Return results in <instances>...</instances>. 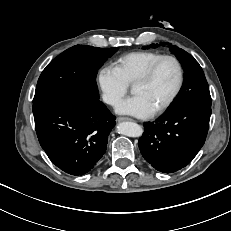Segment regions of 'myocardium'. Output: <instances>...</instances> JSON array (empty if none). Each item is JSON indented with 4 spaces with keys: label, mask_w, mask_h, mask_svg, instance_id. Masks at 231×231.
I'll return each mask as SVG.
<instances>
[{
    "label": "myocardium",
    "mask_w": 231,
    "mask_h": 231,
    "mask_svg": "<svg viewBox=\"0 0 231 231\" xmlns=\"http://www.w3.org/2000/svg\"><path fill=\"white\" fill-rule=\"evenodd\" d=\"M165 60H171L175 63L178 70V81L171 95L167 98L165 102H163L158 108L154 110L153 114H160L164 112L173 104V102L180 94L185 80L184 67L181 61L174 55H162L161 57L156 59L153 63H151L133 82V86H134L136 84H142L149 81L150 78L153 76L154 72L156 71L157 67L160 65V63H162Z\"/></svg>",
    "instance_id": "myocardium-1"
}]
</instances>
